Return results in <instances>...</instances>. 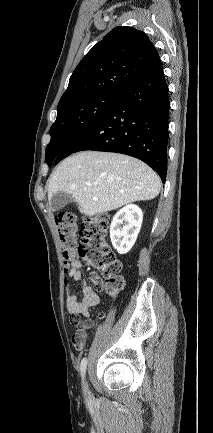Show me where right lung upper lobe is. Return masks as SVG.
<instances>
[{
	"label": "right lung upper lobe",
	"mask_w": 213,
	"mask_h": 433,
	"mask_svg": "<svg viewBox=\"0 0 213 433\" xmlns=\"http://www.w3.org/2000/svg\"><path fill=\"white\" fill-rule=\"evenodd\" d=\"M159 59L144 32L127 26L116 27L80 61L57 108L99 93L122 95Z\"/></svg>",
	"instance_id": "right-lung-upper-lobe-1"
}]
</instances>
